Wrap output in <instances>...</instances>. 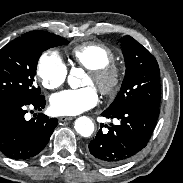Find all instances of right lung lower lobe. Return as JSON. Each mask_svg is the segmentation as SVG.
<instances>
[{"label":"right lung lower lobe","instance_id":"obj_1","mask_svg":"<svg viewBox=\"0 0 183 183\" xmlns=\"http://www.w3.org/2000/svg\"><path fill=\"white\" fill-rule=\"evenodd\" d=\"M44 96H8L0 98V151L9 158L25 160L37 155L48 143L56 118L40 113L26 121V106L41 111L45 107Z\"/></svg>","mask_w":183,"mask_h":183}]
</instances>
